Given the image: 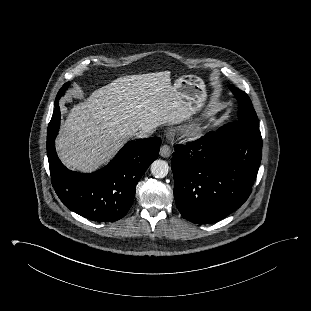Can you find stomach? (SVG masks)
<instances>
[{"mask_svg":"<svg viewBox=\"0 0 311 311\" xmlns=\"http://www.w3.org/2000/svg\"><path fill=\"white\" fill-rule=\"evenodd\" d=\"M174 87L181 99L195 110L201 108L207 99L205 83L197 75L189 74L179 77ZM209 116L212 119L213 115Z\"/></svg>","mask_w":311,"mask_h":311,"instance_id":"stomach-1","label":"stomach"}]
</instances>
